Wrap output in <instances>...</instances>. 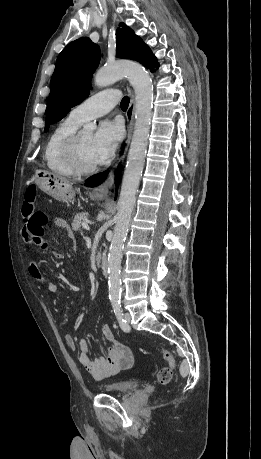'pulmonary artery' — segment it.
<instances>
[{"mask_svg": "<svg viewBox=\"0 0 261 459\" xmlns=\"http://www.w3.org/2000/svg\"><path fill=\"white\" fill-rule=\"evenodd\" d=\"M120 92L117 89L100 91L73 108L69 116L81 123L108 113L118 103Z\"/></svg>", "mask_w": 261, "mask_h": 459, "instance_id": "e3ab8cb5", "label": "pulmonary artery"}]
</instances>
